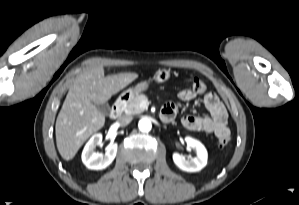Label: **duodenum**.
I'll return each mask as SVG.
<instances>
[{"label":"duodenum","instance_id":"1","mask_svg":"<svg viewBox=\"0 0 299 205\" xmlns=\"http://www.w3.org/2000/svg\"><path fill=\"white\" fill-rule=\"evenodd\" d=\"M127 99L128 97H121L113 104L112 109L110 111V117L112 119H116L122 113L123 106ZM161 118L166 122L170 121V117L167 113H161Z\"/></svg>","mask_w":299,"mask_h":205}]
</instances>
